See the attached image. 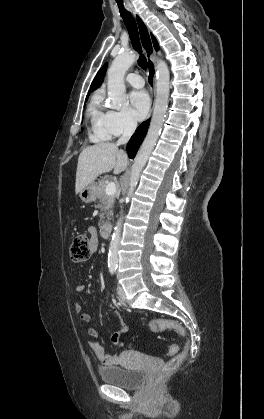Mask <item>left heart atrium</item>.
I'll use <instances>...</instances> for the list:
<instances>
[{
    "label": "left heart atrium",
    "instance_id": "obj_1",
    "mask_svg": "<svg viewBox=\"0 0 264 419\" xmlns=\"http://www.w3.org/2000/svg\"><path fill=\"white\" fill-rule=\"evenodd\" d=\"M130 102L134 116L138 120L144 119L150 109V100L145 91H134L130 95Z\"/></svg>",
    "mask_w": 264,
    "mask_h": 419
}]
</instances>
